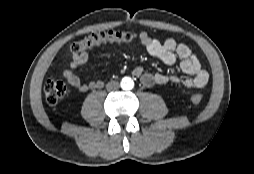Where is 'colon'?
<instances>
[{"label": "colon", "mask_w": 254, "mask_h": 174, "mask_svg": "<svg viewBox=\"0 0 254 174\" xmlns=\"http://www.w3.org/2000/svg\"><path fill=\"white\" fill-rule=\"evenodd\" d=\"M134 38V34L128 31H99L75 42L70 49V53L76 54L85 52L104 43H129L132 42ZM66 92L67 85L62 80L51 78L45 82L44 94L49 104H56L59 102ZM190 100L193 104H199L202 101V95L194 93L190 96Z\"/></svg>", "instance_id": "colon-1"}]
</instances>
